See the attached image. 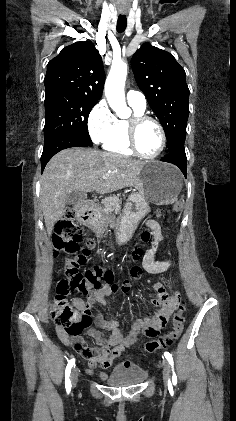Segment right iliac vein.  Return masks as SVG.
<instances>
[{"instance_id":"obj_1","label":"right iliac vein","mask_w":236,"mask_h":421,"mask_svg":"<svg viewBox=\"0 0 236 421\" xmlns=\"http://www.w3.org/2000/svg\"><path fill=\"white\" fill-rule=\"evenodd\" d=\"M78 371H77V369H73L72 370V373H71V382H72V385L73 386H75L76 385V383H77V380H78Z\"/></svg>"}]
</instances>
